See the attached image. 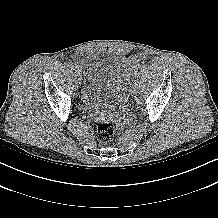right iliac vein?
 <instances>
[{"instance_id":"1","label":"right iliac vein","mask_w":218,"mask_h":218,"mask_svg":"<svg viewBox=\"0 0 218 218\" xmlns=\"http://www.w3.org/2000/svg\"><path fill=\"white\" fill-rule=\"evenodd\" d=\"M76 76H77V77H76V78H77V81H79V80H80L79 75L77 74Z\"/></svg>"}]
</instances>
